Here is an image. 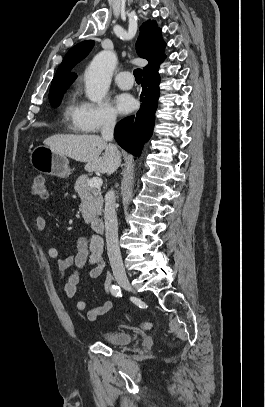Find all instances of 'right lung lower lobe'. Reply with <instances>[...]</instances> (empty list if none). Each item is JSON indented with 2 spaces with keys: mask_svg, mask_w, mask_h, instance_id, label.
Listing matches in <instances>:
<instances>
[{
  "mask_svg": "<svg viewBox=\"0 0 265 407\" xmlns=\"http://www.w3.org/2000/svg\"><path fill=\"white\" fill-rule=\"evenodd\" d=\"M165 56L144 72L141 107L136 116L121 120L114 132L117 143L134 156L140 155L141 148L152 135L155 124V111L159 97L160 77L158 68Z\"/></svg>",
  "mask_w": 265,
  "mask_h": 407,
  "instance_id": "obj_1",
  "label": "right lung lower lobe"
}]
</instances>
